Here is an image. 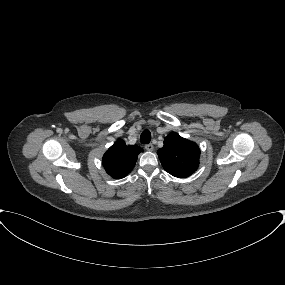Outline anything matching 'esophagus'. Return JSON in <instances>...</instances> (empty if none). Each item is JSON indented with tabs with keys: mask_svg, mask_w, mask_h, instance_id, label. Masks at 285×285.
Returning <instances> with one entry per match:
<instances>
[{
	"mask_svg": "<svg viewBox=\"0 0 285 285\" xmlns=\"http://www.w3.org/2000/svg\"><path fill=\"white\" fill-rule=\"evenodd\" d=\"M145 149H146L147 151H153L154 146H153L152 144H146V145H145Z\"/></svg>",
	"mask_w": 285,
	"mask_h": 285,
	"instance_id": "obj_1",
	"label": "esophagus"
}]
</instances>
